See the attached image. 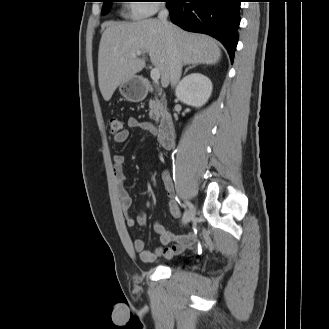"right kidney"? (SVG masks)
<instances>
[{"instance_id":"right-kidney-1","label":"right kidney","mask_w":329,"mask_h":329,"mask_svg":"<svg viewBox=\"0 0 329 329\" xmlns=\"http://www.w3.org/2000/svg\"><path fill=\"white\" fill-rule=\"evenodd\" d=\"M212 93V82L201 73H192L186 76L176 88L177 98L190 106H203Z\"/></svg>"}]
</instances>
